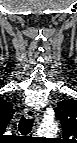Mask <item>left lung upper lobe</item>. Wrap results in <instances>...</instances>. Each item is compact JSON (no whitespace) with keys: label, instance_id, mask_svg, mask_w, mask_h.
<instances>
[{"label":"left lung upper lobe","instance_id":"left-lung-upper-lobe-1","mask_svg":"<svg viewBox=\"0 0 77 143\" xmlns=\"http://www.w3.org/2000/svg\"><path fill=\"white\" fill-rule=\"evenodd\" d=\"M56 117L61 121L63 138L75 139L77 137V101L63 100L57 103Z\"/></svg>","mask_w":77,"mask_h":143}]
</instances>
